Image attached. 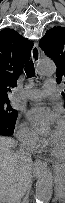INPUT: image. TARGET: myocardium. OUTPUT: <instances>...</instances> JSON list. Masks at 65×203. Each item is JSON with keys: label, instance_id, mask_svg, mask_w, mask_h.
I'll return each instance as SVG.
<instances>
[{"label": "myocardium", "instance_id": "f54148a6", "mask_svg": "<svg viewBox=\"0 0 65 203\" xmlns=\"http://www.w3.org/2000/svg\"><path fill=\"white\" fill-rule=\"evenodd\" d=\"M48 147L50 150V153L57 158H64L65 157V152L64 153H59L58 151L55 150V148L52 146L51 142L49 141Z\"/></svg>", "mask_w": 65, "mask_h": 203}]
</instances>
